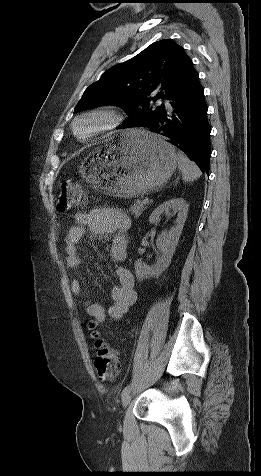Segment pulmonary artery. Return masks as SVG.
Instances as JSON below:
<instances>
[{
    "instance_id": "obj_1",
    "label": "pulmonary artery",
    "mask_w": 261,
    "mask_h": 476,
    "mask_svg": "<svg viewBox=\"0 0 261 476\" xmlns=\"http://www.w3.org/2000/svg\"><path fill=\"white\" fill-rule=\"evenodd\" d=\"M159 103H164L166 106H170L169 102L168 101H160Z\"/></svg>"
}]
</instances>
